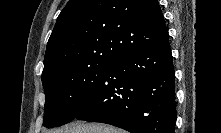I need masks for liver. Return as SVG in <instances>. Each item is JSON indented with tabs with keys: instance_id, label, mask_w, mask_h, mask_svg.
<instances>
[{
	"instance_id": "6515ba94",
	"label": "liver",
	"mask_w": 221,
	"mask_h": 133,
	"mask_svg": "<svg viewBox=\"0 0 221 133\" xmlns=\"http://www.w3.org/2000/svg\"><path fill=\"white\" fill-rule=\"evenodd\" d=\"M54 133H124V131L101 123L76 121L70 125L54 130Z\"/></svg>"
}]
</instances>
